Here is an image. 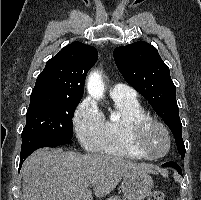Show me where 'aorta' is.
Masks as SVG:
<instances>
[{"label":"aorta","instance_id":"1","mask_svg":"<svg viewBox=\"0 0 201 200\" xmlns=\"http://www.w3.org/2000/svg\"><path fill=\"white\" fill-rule=\"evenodd\" d=\"M87 90L90 96L95 99H100L104 94V83L101 74L94 71L90 74L87 82Z\"/></svg>","mask_w":201,"mask_h":200}]
</instances>
